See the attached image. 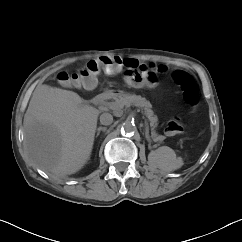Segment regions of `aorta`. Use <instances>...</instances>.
<instances>
[{
    "mask_svg": "<svg viewBox=\"0 0 242 242\" xmlns=\"http://www.w3.org/2000/svg\"><path fill=\"white\" fill-rule=\"evenodd\" d=\"M122 130L125 131L126 133H135L137 128L136 125L134 124V122L131 121H125L123 126H122Z\"/></svg>",
    "mask_w": 242,
    "mask_h": 242,
    "instance_id": "1",
    "label": "aorta"
}]
</instances>
